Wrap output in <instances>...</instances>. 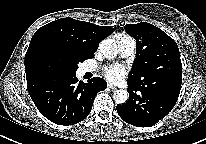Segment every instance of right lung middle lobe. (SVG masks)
Listing matches in <instances>:
<instances>
[{
  "label": "right lung middle lobe",
  "instance_id": "obj_1",
  "mask_svg": "<svg viewBox=\"0 0 206 144\" xmlns=\"http://www.w3.org/2000/svg\"><path fill=\"white\" fill-rule=\"evenodd\" d=\"M86 59L88 58L80 53L44 46L34 50L25 58V71L29 75H72L76 73L78 63Z\"/></svg>",
  "mask_w": 206,
  "mask_h": 144
}]
</instances>
